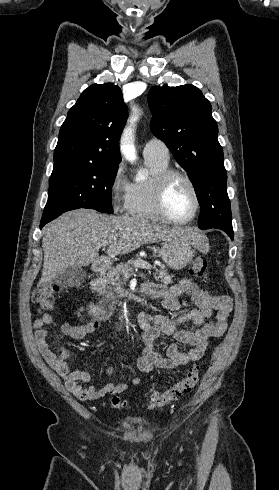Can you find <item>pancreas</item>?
<instances>
[{"label":"pancreas","instance_id":"pancreas-1","mask_svg":"<svg viewBox=\"0 0 279 490\" xmlns=\"http://www.w3.org/2000/svg\"><path fill=\"white\" fill-rule=\"evenodd\" d=\"M134 264V260H129V262H125V264H119L116 268H110L108 274L104 276V278H97L94 280L95 290L94 292H98V296H111L112 286H117L118 280L120 278H130L134 274V268H132ZM155 280H159L162 284H172L173 276L168 274L166 268H160V270H155V274H153Z\"/></svg>","mask_w":279,"mask_h":490}]
</instances>
